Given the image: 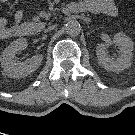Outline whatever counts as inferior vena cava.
I'll return each mask as SVG.
<instances>
[{
    "label": "inferior vena cava",
    "mask_w": 135,
    "mask_h": 135,
    "mask_svg": "<svg viewBox=\"0 0 135 135\" xmlns=\"http://www.w3.org/2000/svg\"><path fill=\"white\" fill-rule=\"evenodd\" d=\"M52 29H54V26L49 27L48 29L45 30V32L51 31Z\"/></svg>",
    "instance_id": "inferior-vena-cava-1"
}]
</instances>
